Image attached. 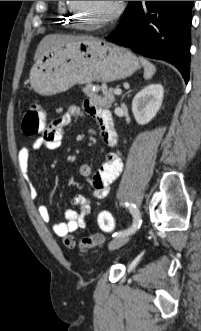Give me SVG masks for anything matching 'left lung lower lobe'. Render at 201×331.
<instances>
[{
    "label": "left lung lower lobe",
    "instance_id": "left-lung-lower-lobe-1",
    "mask_svg": "<svg viewBox=\"0 0 201 331\" xmlns=\"http://www.w3.org/2000/svg\"><path fill=\"white\" fill-rule=\"evenodd\" d=\"M192 5L193 1H130L119 26L105 39L173 64L187 83Z\"/></svg>",
    "mask_w": 201,
    "mask_h": 331
}]
</instances>
